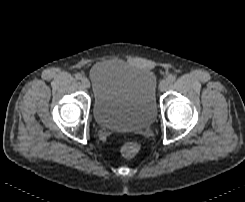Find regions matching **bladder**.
<instances>
[{"label": "bladder", "mask_w": 245, "mask_h": 202, "mask_svg": "<svg viewBox=\"0 0 245 202\" xmlns=\"http://www.w3.org/2000/svg\"><path fill=\"white\" fill-rule=\"evenodd\" d=\"M96 124L133 131L150 126L157 115V78L146 67L123 60L96 64L90 72Z\"/></svg>", "instance_id": "obj_1"}]
</instances>
